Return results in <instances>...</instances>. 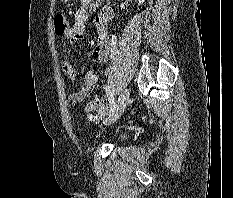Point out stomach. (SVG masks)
Returning a JSON list of instances; mask_svg holds the SVG:
<instances>
[{
	"instance_id": "obj_1",
	"label": "stomach",
	"mask_w": 233,
	"mask_h": 198,
	"mask_svg": "<svg viewBox=\"0 0 233 198\" xmlns=\"http://www.w3.org/2000/svg\"><path fill=\"white\" fill-rule=\"evenodd\" d=\"M62 2H69L70 0H61Z\"/></svg>"
}]
</instances>
